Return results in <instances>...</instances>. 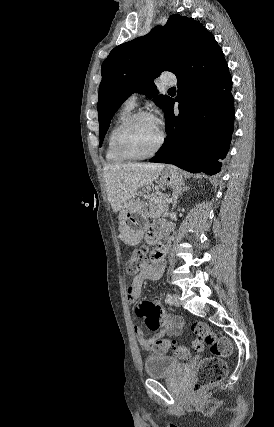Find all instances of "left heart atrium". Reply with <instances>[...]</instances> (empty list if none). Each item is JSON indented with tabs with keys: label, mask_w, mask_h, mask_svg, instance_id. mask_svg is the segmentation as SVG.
<instances>
[{
	"label": "left heart atrium",
	"mask_w": 274,
	"mask_h": 427,
	"mask_svg": "<svg viewBox=\"0 0 274 427\" xmlns=\"http://www.w3.org/2000/svg\"><path fill=\"white\" fill-rule=\"evenodd\" d=\"M153 119L156 122V124L161 128V126H160V120L157 117H153Z\"/></svg>",
	"instance_id": "left-heart-atrium-1"
}]
</instances>
